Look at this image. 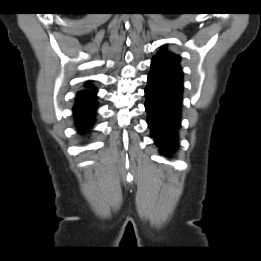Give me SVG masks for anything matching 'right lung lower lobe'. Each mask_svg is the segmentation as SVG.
<instances>
[{
  "label": "right lung lower lobe",
  "mask_w": 261,
  "mask_h": 261,
  "mask_svg": "<svg viewBox=\"0 0 261 261\" xmlns=\"http://www.w3.org/2000/svg\"><path fill=\"white\" fill-rule=\"evenodd\" d=\"M90 87V86H89ZM96 88H88L78 93L73 108L75 123L85 133L92 127L96 110Z\"/></svg>",
  "instance_id": "98d812e1"
}]
</instances>
